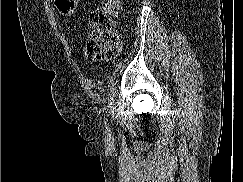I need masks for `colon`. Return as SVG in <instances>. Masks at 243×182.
I'll return each instance as SVG.
<instances>
[{
    "label": "colon",
    "mask_w": 243,
    "mask_h": 182,
    "mask_svg": "<svg viewBox=\"0 0 243 182\" xmlns=\"http://www.w3.org/2000/svg\"><path fill=\"white\" fill-rule=\"evenodd\" d=\"M77 0H55V5L64 17L75 11ZM120 0H104V4L90 15L87 49L97 58H113L120 51V39L115 31Z\"/></svg>",
    "instance_id": "obj_1"
}]
</instances>
